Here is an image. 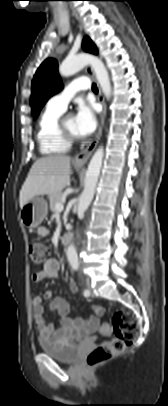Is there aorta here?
Instances as JSON below:
<instances>
[{
  "instance_id": "obj_1",
  "label": "aorta",
  "mask_w": 168,
  "mask_h": 406,
  "mask_svg": "<svg viewBox=\"0 0 168 406\" xmlns=\"http://www.w3.org/2000/svg\"><path fill=\"white\" fill-rule=\"evenodd\" d=\"M91 65L96 79L107 99L111 96V83L108 71L102 62L96 56L89 54H78L67 57L59 67V73L63 77L74 75L86 65ZM104 149L100 146L92 156L85 177V185L78 202V214H83L89 207L95 193L96 184L98 182ZM68 261L73 269H78L79 260L77 251L74 245H69L66 251Z\"/></svg>"
}]
</instances>
